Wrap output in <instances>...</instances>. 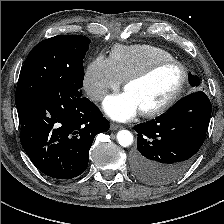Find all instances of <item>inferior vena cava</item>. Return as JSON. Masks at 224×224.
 Listing matches in <instances>:
<instances>
[{"label":"inferior vena cava","instance_id":"inferior-vena-cava-1","mask_svg":"<svg viewBox=\"0 0 224 224\" xmlns=\"http://www.w3.org/2000/svg\"><path fill=\"white\" fill-rule=\"evenodd\" d=\"M106 91L103 89H94L88 92V96L93 101L101 100L105 97Z\"/></svg>","mask_w":224,"mask_h":224}]
</instances>
